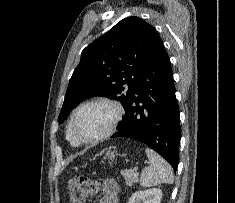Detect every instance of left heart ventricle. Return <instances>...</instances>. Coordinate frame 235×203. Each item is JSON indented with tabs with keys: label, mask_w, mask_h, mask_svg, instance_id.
<instances>
[{
	"label": "left heart ventricle",
	"mask_w": 235,
	"mask_h": 203,
	"mask_svg": "<svg viewBox=\"0 0 235 203\" xmlns=\"http://www.w3.org/2000/svg\"><path fill=\"white\" fill-rule=\"evenodd\" d=\"M114 114L113 107L106 103L87 105L78 114L77 130L86 139L96 138L108 130Z\"/></svg>",
	"instance_id": "1"
}]
</instances>
